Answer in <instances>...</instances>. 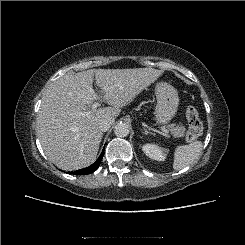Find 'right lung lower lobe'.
I'll use <instances>...</instances> for the list:
<instances>
[{
	"mask_svg": "<svg viewBox=\"0 0 245 245\" xmlns=\"http://www.w3.org/2000/svg\"><path fill=\"white\" fill-rule=\"evenodd\" d=\"M104 155V150L102 151L101 155L99 156V158L97 159V161L92 164L91 166L81 169L79 171H75V172H71L70 174H75V175H86V174H90L93 173L94 171H96L101 163V160L103 158Z\"/></svg>",
	"mask_w": 245,
	"mask_h": 245,
	"instance_id": "obj_1",
	"label": "right lung lower lobe"
}]
</instances>
